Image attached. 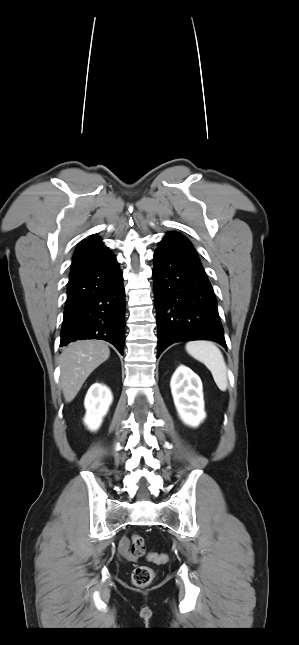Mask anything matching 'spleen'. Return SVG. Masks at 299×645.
Returning a JSON list of instances; mask_svg holds the SVG:
<instances>
[{"label":"spleen","instance_id":"1","mask_svg":"<svg viewBox=\"0 0 299 645\" xmlns=\"http://www.w3.org/2000/svg\"><path fill=\"white\" fill-rule=\"evenodd\" d=\"M186 351L202 362L212 373L217 387L226 391L228 386L227 367L220 349L210 341H191L186 344Z\"/></svg>","mask_w":299,"mask_h":645}]
</instances>
